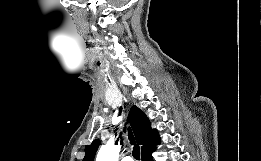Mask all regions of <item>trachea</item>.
Wrapping results in <instances>:
<instances>
[{
  "label": "trachea",
  "mask_w": 261,
  "mask_h": 161,
  "mask_svg": "<svg viewBox=\"0 0 261 161\" xmlns=\"http://www.w3.org/2000/svg\"><path fill=\"white\" fill-rule=\"evenodd\" d=\"M128 136H129V140H130L131 145L134 146L133 151H132V155L136 160L139 161L140 160V148H139L138 145H136L135 138H134L133 133H132L130 128H129Z\"/></svg>",
  "instance_id": "trachea-1"
}]
</instances>
